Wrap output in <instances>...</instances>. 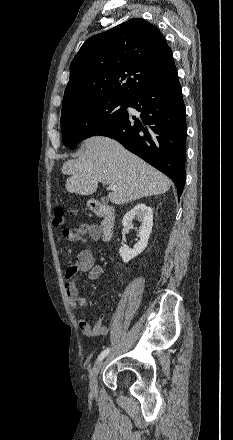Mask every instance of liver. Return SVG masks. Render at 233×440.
<instances>
[{"instance_id": "1", "label": "liver", "mask_w": 233, "mask_h": 440, "mask_svg": "<svg viewBox=\"0 0 233 440\" xmlns=\"http://www.w3.org/2000/svg\"><path fill=\"white\" fill-rule=\"evenodd\" d=\"M62 173L70 175L66 190L79 195H91L98 183L116 185L108 194L117 205L165 193L171 181L163 173L126 150L119 142L103 136L84 141V152L78 159L66 161Z\"/></svg>"}]
</instances>
